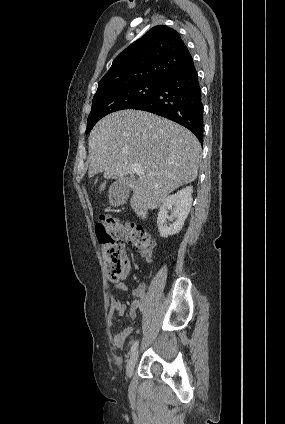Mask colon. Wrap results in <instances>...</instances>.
Returning <instances> with one entry per match:
<instances>
[{"instance_id": "obj_1", "label": "colon", "mask_w": 285, "mask_h": 424, "mask_svg": "<svg viewBox=\"0 0 285 424\" xmlns=\"http://www.w3.org/2000/svg\"><path fill=\"white\" fill-rule=\"evenodd\" d=\"M97 240L102 245L107 275L119 279L127 263V252L123 240L135 246L147 259H152L156 244L150 234L139 225H131L121 218L103 216L95 225Z\"/></svg>"}]
</instances>
